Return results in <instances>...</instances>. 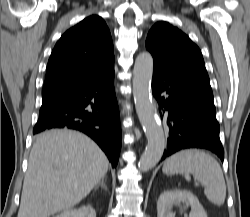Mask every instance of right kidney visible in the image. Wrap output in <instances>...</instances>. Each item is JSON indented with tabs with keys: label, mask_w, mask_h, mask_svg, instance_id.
<instances>
[{
	"label": "right kidney",
	"mask_w": 250,
	"mask_h": 217,
	"mask_svg": "<svg viewBox=\"0 0 250 217\" xmlns=\"http://www.w3.org/2000/svg\"><path fill=\"white\" fill-rule=\"evenodd\" d=\"M55 217H96V212L91 206L87 205L78 209L66 210Z\"/></svg>",
	"instance_id": "obj_1"
}]
</instances>
